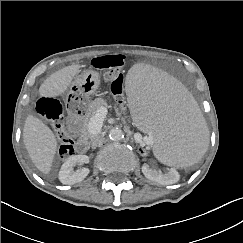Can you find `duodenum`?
Returning <instances> with one entry per match:
<instances>
[{"mask_svg": "<svg viewBox=\"0 0 243 243\" xmlns=\"http://www.w3.org/2000/svg\"><path fill=\"white\" fill-rule=\"evenodd\" d=\"M69 130L71 131V133L74 134L76 132V126H70ZM87 145H88L87 139L81 138L78 140L77 147L80 151H84L86 149Z\"/></svg>", "mask_w": 243, "mask_h": 243, "instance_id": "obj_1", "label": "duodenum"}]
</instances>
